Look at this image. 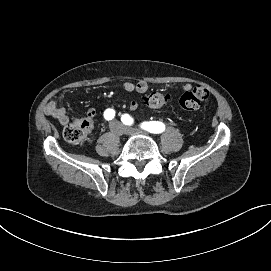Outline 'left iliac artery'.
I'll use <instances>...</instances> for the list:
<instances>
[{
  "label": "left iliac artery",
  "mask_w": 271,
  "mask_h": 271,
  "mask_svg": "<svg viewBox=\"0 0 271 271\" xmlns=\"http://www.w3.org/2000/svg\"><path fill=\"white\" fill-rule=\"evenodd\" d=\"M121 121L127 125L131 126L134 124L135 119L132 115L130 114H124L121 117ZM141 128L154 134H159L165 130V125L162 122L159 121H150V122H143L141 124Z\"/></svg>",
  "instance_id": "left-iliac-artery-1"
}]
</instances>
